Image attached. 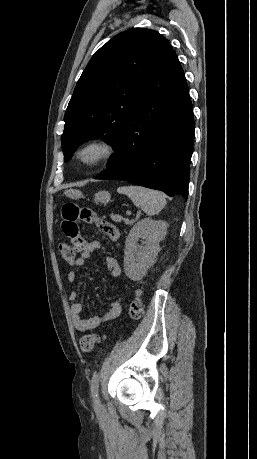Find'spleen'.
Returning <instances> with one entry per match:
<instances>
[{
  "label": "spleen",
  "mask_w": 257,
  "mask_h": 459,
  "mask_svg": "<svg viewBox=\"0 0 257 459\" xmlns=\"http://www.w3.org/2000/svg\"><path fill=\"white\" fill-rule=\"evenodd\" d=\"M117 191L127 195L135 206L149 216L159 213L166 205L165 196L156 190L141 186H122Z\"/></svg>",
  "instance_id": "1"
}]
</instances>
